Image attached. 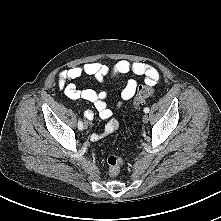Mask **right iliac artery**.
Returning <instances> with one entry per match:
<instances>
[{"label": "right iliac artery", "instance_id": "82829eb1", "mask_svg": "<svg viewBox=\"0 0 221 221\" xmlns=\"http://www.w3.org/2000/svg\"><path fill=\"white\" fill-rule=\"evenodd\" d=\"M78 128L79 130L83 129V122L81 120L78 121Z\"/></svg>", "mask_w": 221, "mask_h": 221}]
</instances>
